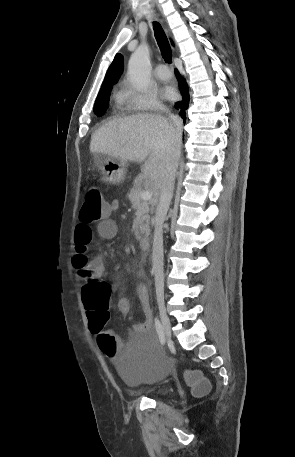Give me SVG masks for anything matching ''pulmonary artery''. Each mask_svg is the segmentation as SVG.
<instances>
[{
    "instance_id": "pulmonary-artery-1",
    "label": "pulmonary artery",
    "mask_w": 295,
    "mask_h": 457,
    "mask_svg": "<svg viewBox=\"0 0 295 457\" xmlns=\"http://www.w3.org/2000/svg\"><path fill=\"white\" fill-rule=\"evenodd\" d=\"M155 75L159 80H162V81H167L171 77V73H170L169 69L164 64H160L156 67Z\"/></svg>"
}]
</instances>
